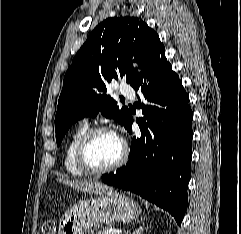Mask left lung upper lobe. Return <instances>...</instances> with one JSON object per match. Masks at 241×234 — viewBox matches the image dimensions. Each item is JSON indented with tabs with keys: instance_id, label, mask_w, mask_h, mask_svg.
Segmentation results:
<instances>
[{
	"instance_id": "obj_1",
	"label": "left lung upper lobe",
	"mask_w": 241,
	"mask_h": 234,
	"mask_svg": "<svg viewBox=\"0 0 241 234\" xmlns=\"http://www.w3.org/2000/svg\"><path fill=\"white\" fill-rule=\"evenodd\" d=\"M162 48L158 34L136 17L120 16L101 22L64 76L55 117L57 146L73 123L99 112L125 127L130 112L126 107L119 109L106 94V85L118 77H126L132 85L142 73L133 68L131 61L137 62L144 72Z\"/></svg>"
}]
</instances>
